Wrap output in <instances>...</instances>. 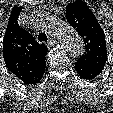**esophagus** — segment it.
Returning a JSON list of instances; mask_svg holds the SVG:
<instances>
[{
  "label": "esophagus",
  "mask_w": 113,
  "mask_h": 113,
  "mask_svg": "<svg viewBox=\"0 0 113 113\" xmlns=\"http://www.w3.org/2000/svg\"><path fill=\"white\" fill-rule=\"evenodd\" d=\"M57 43L55 38H50L47 42V45L54 46Z\"/></svg>",
  "instance_id": "34e87169"
}]
</instances>
